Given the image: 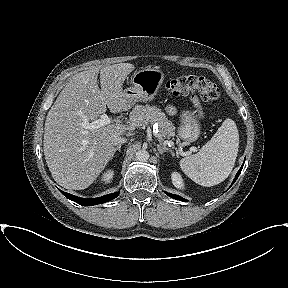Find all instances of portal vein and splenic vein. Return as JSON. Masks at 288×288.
Listing matches in <instances>:
<instances>
[{"mask_svg": "<svg viewBox=\"0 0 288 288\" xmlns=\"http://www.w3.org/2000/svg\"><path fill=\"white\" fill-rule=\"evenodd\" d=\"M110 123H111V119L106 114H102L100 116V119H97L91 123L85 121L82 125L85 129H97V128H100L102 126L108 125ZM118 125H120V124H118ZM135 126L136 125L133 124L130 127V129H132V130L135 129Z\"/></svg>", "mask_w": 288, "mask_h": 288, "instance_id": "18ae733b", "label": "portal vein and splenic vein"}]
</instances>
